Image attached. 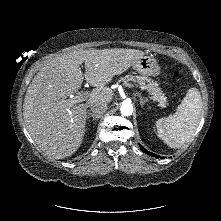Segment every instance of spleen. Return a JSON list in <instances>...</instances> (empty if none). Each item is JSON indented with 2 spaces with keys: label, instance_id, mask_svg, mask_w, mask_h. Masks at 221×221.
I'll return each mask as SVG.
<instances>
[{
  "label": "spleen",
  "instance_id": "spleen-1",
  "mask_svg": "<svg viewBox=\"0 0 221 221\" xmlns=\"http://www.w3.org/2000/svg\"><path fill=\"white\" fill-rule=\"evenodd\" d=\"M201 113L200 92L196 88H190L174 114L157 120L158 137L171 148L184 146L193 137Z\"/></svg>",
  "mask_w": 221,
  "mask_h": 221
}]
</instances>
